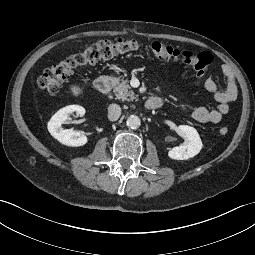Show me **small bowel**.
Returning a JSON list of instances; mask_svg holds the SVG:
<instances>
[{
	"label": "small bowel",
	"instance_id": "small-bowel-1",
	"mask_svg": "<svg viewBox=\"0 0 255 255\" xmlns=\"http://www.w3.org/2000/svg\"><path fill=\"white\" fill-rule=\"evenodd\" d=\"M221 70L226 83V88L224 90L220 89L217 83L207 76L201 81L205 89L212 93L215 100L218 102L216 108L201 106L190 110L187 102H183L182 104L186 110H189L190 117L196 122L211 124L221 122L224 116L229 112L230 103L237 97V83L232 69L227 65H223ZM155 97L160 101V105L163 104L164 97Z\"/></svg>",
	"mask_w": 255,
	"mask_h": 255
}]
</instances>
